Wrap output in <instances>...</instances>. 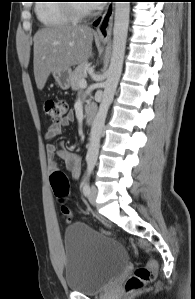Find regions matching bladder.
<instances>
[{
  "mask_svg": "<svg viewBox=\"0 0 195 299\" xmlns=\"http://www.w3.org/2000/svg\"><path fill=\"white\" fill-rule=\"evenodd\" d=\"M64 251V278L73 292L94 294L128 265L127 253L118 241L81 223L66 228Z\"/></svg>",
  "mask_w": 195,
  "mask_h": 299,
  "instance_id": "1",
  "label": "bladder"
}]
</instances>
